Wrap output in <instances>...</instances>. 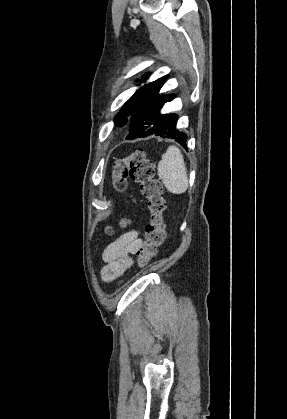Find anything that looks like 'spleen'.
I'll return each mask as SVG.
<instances>
[{"mask_svg":"<svg viewBox=\"0 0 287 419\" xmlns=\"http://www.w3.org/2000/svg\"><path fill=\"white\" fill-rule=\"evenodd\" d=\"M158 175L172 194H182L188 188V176L183 155L176 146H169L158 164Z\"/></svg>","mask_w":287,"mask_h":419,"instance_id":"obj_1","label":"spleen"}]
</instances>
